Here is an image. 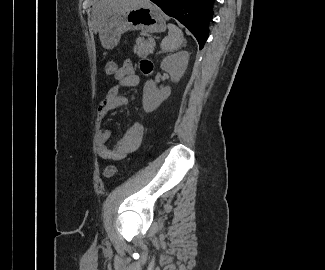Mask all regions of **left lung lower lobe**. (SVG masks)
Instances as JSON below:
<instances>
[{
	"mask_svg": "<svg viewBox=\"0 0 325 270\" xmlns=\"http://www.w3.org/2000/svg\"><path fill=\"white\" fill-rule=\"evenodd\" d=\"M168 16L176 18L197 39L200 49L208 37L213 0H151Z\"/></svg>",
	"mask_w": 325,
	"mask_h": 270,
	"instance_id": "obj_1",
	"label": "left lung lower lobe"
}]
</instances>
